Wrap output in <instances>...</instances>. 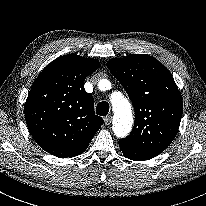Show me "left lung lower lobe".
Here are the masks:
<instances>
[{"label": "left lung lower lobe", "mask_w": 206, "mask_h": 206, "mask_svg": "<svg viewBox=\"0 0 206 206\" xmlns=\"http://www.w3.org/2000/svg\"><path fill=\"white\" fill-rule=\"evenodd\" d=\"M119 145L124 156L131 160L144 161V160H149L157 155V154H152V153L142 151L136 147L126 145L122 142H119Z\"/></svg>", "instance_id": "0a47b994"}]
</instances>
